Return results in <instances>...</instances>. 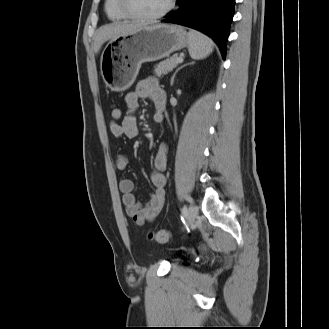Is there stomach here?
<instances>
[{
	"instance_id": "stomach-1",
	"label": "stomach",
	"mask_w": 329,
	"mask_h": 329,
	"mask_svg": "<svg viewBox=\"0 0 329 329\" xmlns=\"http://www.w3.org/2000/svg\"><path fill=\"white\" fill-rule=\"evenodd\" d=\"M187 45L186 31L169 24L147 26L114 37L101 55L102 78L112 91H125L134 83L142 63L160 60Z\"/></svg>"
}]
</instances>
